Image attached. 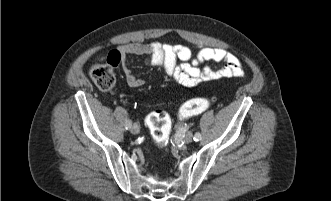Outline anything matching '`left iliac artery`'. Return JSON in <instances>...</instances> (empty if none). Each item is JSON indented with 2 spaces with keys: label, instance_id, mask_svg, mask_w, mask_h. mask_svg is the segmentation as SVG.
Listing matches in <instances>:
<instances>
[{
  "label": "left iliac artery",
  "instance_id": "left-iliac-artery-1",
  "mask_svg": "<svg viewBox=\"0 0 331 201\" xmlns=\"http://www.w3.org/2000/svg\"><path fill=\"white\" fill-rule=\"evenodd\" d=\"M201 138L202 137H201V134L199 132L195 133V135L193 137L194 141H199V140H201Z\"/></svg>",
  "mask_w": 331,
  "mask_h": 201
}]
</instances>
